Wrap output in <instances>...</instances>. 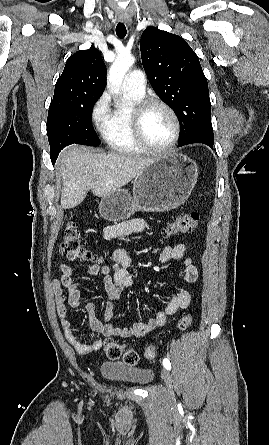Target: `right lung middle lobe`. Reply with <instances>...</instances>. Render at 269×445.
<instances>
[{
  "mask_svg": "<svg viewBox=\"0 0 269 445\" xmlns=\"http://www.w3.org/2000/svg\"><path fill=\"white\" fill-rule=\"evenodd\" d=\"M98 99L82 97L51 101L47 135L53 163L59 152L69 144L98 146L101 143L91 122L92 109Z\"/></svg>",
  "mask_w": 269,
  "mask_h": 445,
  "instance_id": "obj_1",
  "label": "right lung middle lobe"
}]
</instances>
